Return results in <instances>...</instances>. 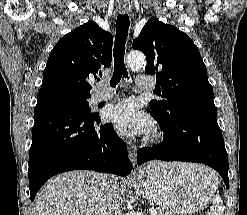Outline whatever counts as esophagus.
<instances>
[{"instance_id": "obj_1", "label": "esophagus", "mask_w": 247, "mask_h": 215, "mask_svg": "<svg viewBox=\"0 0 247 215\" xmlns=\"http://www.w3.org/2000/svg\"><path fill=\"white\" fill-rule=\"evenodd\" d=\"M127 10L126 9H121L120 10V13H126ZM128 150H129V156H130V160L133 164V166L136 165V152H137V147L135 145H129L128 147Z\"/></svg>"}]
</instances>
